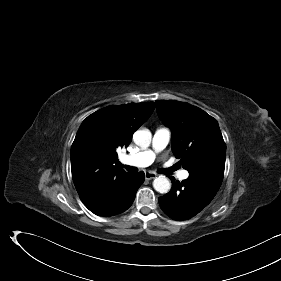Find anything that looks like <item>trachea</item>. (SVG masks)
Listing matches in <instances>:
<instances>
[{
    "mask_svg": "<svg viewBox=\"0 0 281 281\" xmlns=\"http://www.w3.org/2000/svg\"><path fill=\"white\" fill-rule=\"evenodd\" d=\"M122 167H124L127 171H131V172H136L138 171V169L136 167H132V166H124L121 164ZM175 169H177V166H173L171 168H165V169H161L160 173L162 174H171Z\"/></svg>",
    "mask_w": 281,
    "mask_h": 281,
    "instance_id": "trachea-1",
    "label": "trachea"
}]
</instances>
